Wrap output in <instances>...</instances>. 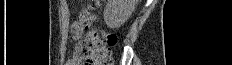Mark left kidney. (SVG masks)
Segmentation results:
<instances>
[{"label": "left kidney", "instance_id": "obj_1", "mask_svg": "<svg viewBox=\"0 0 232 65\" xmlns=\"http://www.w3.org/2000/svg\"><path fill=\"white\" fill-rule=\"evenodd\" d=\"M137 0H108L104 9V21L111 28L123 25L135 10Z\"/></svg>", "mask_w": 232, "mask_h": 65}]
</instances>
